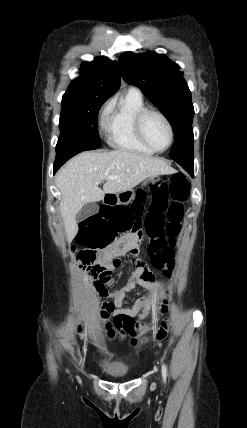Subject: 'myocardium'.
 <instances>
[{"instance_id": "obj_1", "label": "myocardium", "mask_w": 247, "mask_h": 428, "mask_svg": "<svg viewBox=\"0 0 247 428\" xmlns=\"http://www.w3.org/2000/svg\"><path fill=\"white\" fill-rule=\"evenodd\" d=\"M150 114H155V115L159 116L165 122V124L169 130V136H170L169 142H168L167 146L163 149H158V148L154 147L146 137L145 130H144V122H145L146 117ZM135 130H136L137 136L140 139V141L145 146H147L149 149H151L154 152H158V153L165 152L172 146V144L174 142V129H173V126H172L170 120L168 119V117L163 112H161L160 110L154 109V108H145V109L141 110L136 115Z\"/></svg>"}]
</instances>
